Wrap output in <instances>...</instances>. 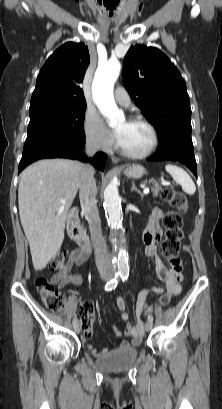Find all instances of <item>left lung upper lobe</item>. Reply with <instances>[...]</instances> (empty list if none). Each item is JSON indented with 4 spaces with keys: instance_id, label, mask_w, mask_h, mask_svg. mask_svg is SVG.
I'll use <instances>...</instances> for the list:
<instances>
[{
    "instance_id": "obj_1",
    "label": "left lung upper lobe",
    "mask_w": 222,
    "mask_h": 409,
    "mask_svg": "<svg viewBox=\"0 0 222 409\" xmlns=\"http://www.w3.org/2000/svg\"><path fill=\"white\" fill-rule=\"evenodd\" d=\"M123 83L156 128L160 143L171 137L191 138L186 84L164 53L154 47H131L124 59Z\"/></svg>"
}]
</instances>
